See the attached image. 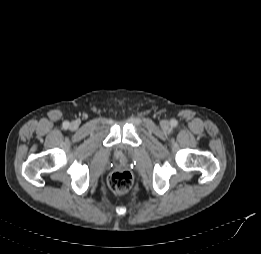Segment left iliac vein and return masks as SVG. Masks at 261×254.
I'll return each mask as SVG.
<instances>
[{"label": "left iliac vein", "mask_w": 261, "mask_h": 254, "mask_svg": "<svg viewBox=\"0 0 261 254\" xmlns=\"http://www.w3.org/2000/svg\"><path fill=\"white\" fill-rule=\"evenodd\" d=\"M161 127H162L164 130H168L169 127H170L169 121L163 120V121L161 122Z\"/></svg>", "instance_id": "left-iliac-vein-1"}]
</instances>
